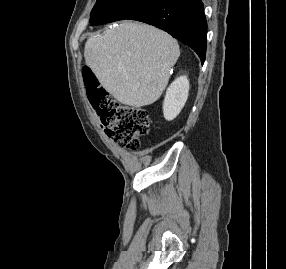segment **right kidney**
I'll use <instances>...</instances> for the list:
<instances>
[{"label":"right kidney","instance_id":"ca27d5eb","mask_svg":"<svg viewBox=\"0 0 286 269\" xmlns=\"http://www.w3.org/2000/svg\"><path fill=\"white\" fill-rule=\"evenodd\" d=\"M189 92V80L186 76H181L168 87L163 103L164 118L173 120L184 107Z\"/></svg>","mask_w":286,"mask_h":269}]
</instances>
